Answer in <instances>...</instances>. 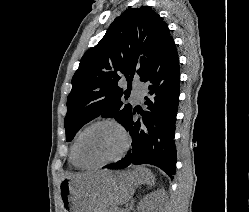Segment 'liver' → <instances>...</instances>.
Listing matches in <instances>:
<instances>
[{
	"label": "liver",
	"mask_w": 249,
	"mask_h": 212,
	"mask_svg": "<svg viewBox=\"0 0 249 212\" xmlns=\"http://www.w3.org/2000/svg\"><path fill=\"white\" fill-rule=\"evenodd\" d=\"M147 168H135L134 172H109V170H98V172H84L74 174L71 178H77L85 182L95 192L96 206L103 212H109L108 208L122 206L132 200L136 188L140 184H146L145 180L149 174ZM95 206V204H93Z\"/></svg>",
	"instance_id": "1"
}]
</instances>
